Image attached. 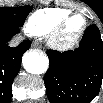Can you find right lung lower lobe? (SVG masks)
Returning <instances> with one entry per match:
<instances>
[{
	"mask_svg": "<svg viewBox=\"0 0 103 103\" xmlns=\"http://www.w3.org/2000/svg\"><path fill=\"white\" fill-rule=\"evenodd\" d=\"M19 28L0 26V99L1 102H9L12 96V83L17 76L21 58L30 46V40L23 41L17 47H9L8 41L19 32Z\"/></svg>",
	"mask_w": 103,
	"mask_h": 103,
	"instance_id": "right-lung-lower-lobe-1",
	"label": "right lung lower lobe"
}]
</instances>
